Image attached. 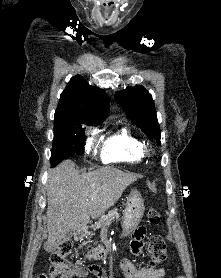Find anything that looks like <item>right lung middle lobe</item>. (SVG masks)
<instances>
[{"label": "right lung middle lobe", "mask_w": 221, "mask_h": 278, "mask_svg": "<svg viewBox=\"0 0 221 278\" xmlns=\"http://www.w3.org/2000/svg\"><path fill=\"white\" fill-rule=\"evenodd\" d=\"M84 125L98 124H88L83 120L54 119V139L50 158L52 166L70 157L82 147L85 141Z\"/></svg>", "instance_id": "right-lung-middle-lobe-1"}]
</instances>
